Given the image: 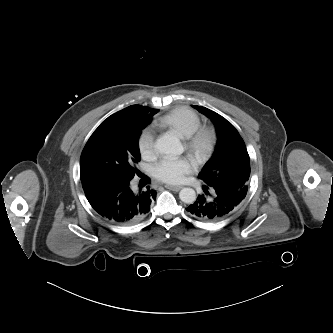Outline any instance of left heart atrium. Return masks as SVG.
Returning <instances> with one entry per match:
<instances>
[{
  "instance_id": "1",
  "label": "left heart atrium",
  "mask_w": 333,
  "mask_h": 333,
  "mask_svg": "<svg viewBox=\"0 0 333 333\" xmlns=\"http://www.w3.org/2000/svg\"><path fill=\"white\" fill-rule=\"evenodd\" d=\"M193 170L192 162L186 157H165L153 167V176L167 184L181 183Z\"/></svg>"
}]
</instances>
